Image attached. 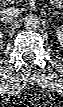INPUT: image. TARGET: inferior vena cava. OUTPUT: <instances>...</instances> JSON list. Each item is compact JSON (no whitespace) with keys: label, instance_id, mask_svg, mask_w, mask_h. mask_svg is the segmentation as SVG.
I'll return each instance as SVG.
<instances>
[{"label":"inferior vena cava","instance_id":"1","mask_svg":"<svg viewBox=\"0 0 63 107\" xmlns=\"http://www.w3.org/2000/svg\"><path fill=\"white\" fill-rule=\"evenodd\" d=\"M18 11L15 8H4L0 11V21L2 23H11L16 20Z\"/></svg>","mask_w":63,"mask_h":107}]
</instances>
